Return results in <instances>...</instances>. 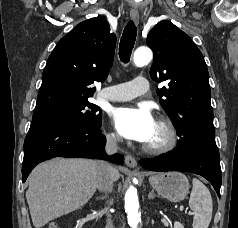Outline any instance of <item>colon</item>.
Here are the masks:
<instances>
[{
	"mask_svg": "<svg viewBox=\"0 0 238 228\" xmlns=\"http://www.w3.org/2000/svg\"><path fill=\"white\" fill-rule=\"evenodd\" d=\"M48 228H58L57 224H51Z\"/></svg>",
	"mask_w": 238,
	"mask_h": 228,
	"instance_id": "1",
	"label": "colon"
}]
</instances>
